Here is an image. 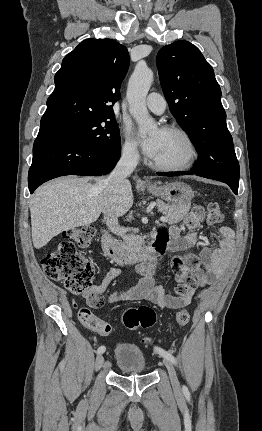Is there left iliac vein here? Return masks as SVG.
I'll use <instances>...</instances> for the list:
<instances>
[{
	"instance_id": "left-iliac-vein-1",
	"label": "left iliac vein",
	"mask_w": 262,
	"mask_h": 431,
	"mask_svg": "<svg viewBox=\"0 0 262 431\" xmlns=\"http://www.w3.org/2000/svg\"><path fill=\"white\" fill-rule=\"evenodd\" d=\"M164 364L168 370V374H169L173 388L179 389L180 388L179 380H178L176 371H175L171 361H169L168 359H164Z\"/></svg>"
}]
</instances>
